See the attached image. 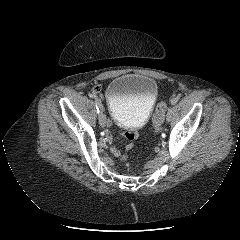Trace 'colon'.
<instances>
[{
  "label": "colon",
  "instance_id": "1",
  "mask_svg": "<svg viewBox=\"0 0 240 240\" xmlns=\"http://www.w3.org/2000/svg\"><path fill=\"white\" fill-rule=\"evenodd\" d=\"M165 111H166V102L162 100L157 104L154 115H153V126L157 133L160 132L162 129Z\"/></svg>",
  "mask_w": 240,
  "mask_h": 240
}]
</instances>
